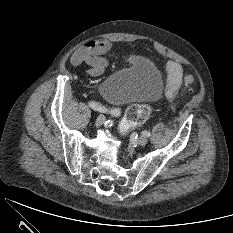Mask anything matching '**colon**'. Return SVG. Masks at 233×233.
<instances>
[{"instance_id": "5ec220e1", "label": "colon", "mask_w": 233, "mask_h": 233, "mask_svg": "<svg viewBox=\"0 0 233 233\" xmlns=\"http://www.w3.org/2000/svg\"><path fill=\"white\" fill-rule=\"evenodd\" d=\"M185 85L191 87L192 79L186 78ZM151 107L147 104H135L130 106L124 115L120 129L123 132H127L131 128H134L144 123L150 116Z\"/></svg>"}]
</instances>
